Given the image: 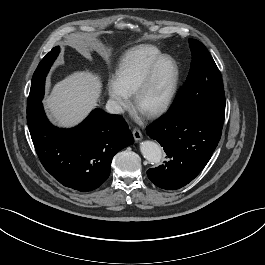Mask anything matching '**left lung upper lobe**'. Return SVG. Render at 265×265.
<instances>
[{
    "label": "left lung upper lobe",
    "instance_id": "1",
    "mask_svg": "<svg viewBox=\"0 0 265 265\" xmlns=\"http://www.w3.org/2000/svg\"><path fill=\"white\" fill-rule=\"evenodd\" d=\"M189 46L191 68L169 112H194L223 127L225 94L220 71L201 42L190 39Z\"/></svg>",
    "mask_w": 265,
    "mask_h": 265
}]
</instances>
